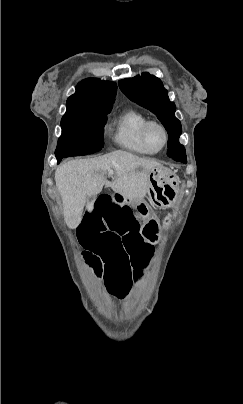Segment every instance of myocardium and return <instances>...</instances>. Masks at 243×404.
Instances as JSON below:
<instances>
[{
    "label": "myocardium",
    "instance_id": "1",
    "mask_svg": "<svg viewBox=\"0 0 243 404\" xmlns=\"http://www.w3.org/2000/svg\"><path fill=\"white\" fill-rule=\"evenodd\" d=\"M151 126H157L163 133V143L160 147L155 148L152 146L148 136H147V131ZM140 137L142 139V141L149 147L155 148L158 151L162 150L163 148H165L169 142V131L166 127V125L161 122L160 120L157 119H147L141 126L140 128Z\"/></svg>",
    "mask_w": 243,
    "mask_h": 404
}]
</instances>
